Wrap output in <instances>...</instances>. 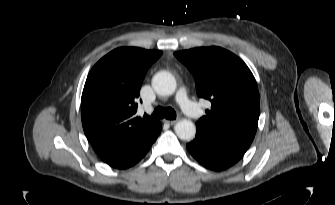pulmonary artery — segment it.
Wrapping results in <instances>:
<instances>
[{
  "label": "pulmonary artery",
  "mask_w": 335,
  "mask_h": 205,
  "mask_svg": "<svg viewBox=\"0 0 335 205\" xmlns=\"http://www.w3.org/2000/svg\"><path fill=\"white\" fill-rule=\"evenodd\" d=\"M176 100L182 110L191 118L197 119L201 115L199 107L189 99L187 92L181 88L176 96Z\"/></svg>",
  "instance_id": "obj_1"
}]
</instances>
